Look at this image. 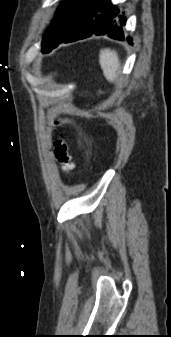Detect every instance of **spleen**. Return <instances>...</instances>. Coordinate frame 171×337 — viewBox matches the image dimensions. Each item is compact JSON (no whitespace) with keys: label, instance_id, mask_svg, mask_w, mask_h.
Masks as SVG:
<instances>
[{"label":"spleen","instance_id":"spleen-1","mask_svg":"<svg viewBox=\"0 0 171 337\" xmlns=\"http://www.w3.org/2000/svg\"><path fill=\"white\" fill-rule=\"evenodd\" d=\"M99 63L105 78L109 82H114L120 75V60L115 50L109 48L101 49L99 54Z\"/></svg>","mask_w":171,"mask_h":337}]
</instances>
